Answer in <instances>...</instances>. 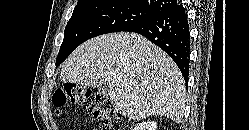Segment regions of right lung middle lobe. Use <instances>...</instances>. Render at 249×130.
<instances>
[{"mask_svg":"<svg viewBox=\"0 0 249 130\" xmlns=\"http://www.w3.org/2000/svg\"><path fill=\"white\" fill-rule=\"evenodd\" d=\"M158 15L129 3L98 1L75 7L57 59L58 67L80 44L98 35L125 31Z\"/></svg>","mask_w":249,"mask_h":130,"instance_id":"1","label":"right lung middle lobe"}]
</instances>
